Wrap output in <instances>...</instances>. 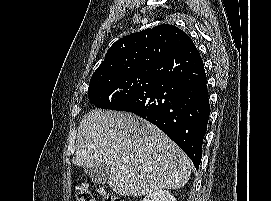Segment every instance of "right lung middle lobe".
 <instances>
[{"label": "right lung middle lobe", "mask_w": 271, "mask_h": 201, "mask_svg": "<svg viewBox=\"0 0 271 201\" xmlns=\"http://www.w3.org/2000/svg\"><path fill=\"white\" fill-rule=\"evenodd\" d=\"M148 71L123 72L90 80L88 96L97 108L120 110L123 104L143 93L152 84Z\"/></svg>", "instance_id": "dd1d6c3e"}]
</instances>
